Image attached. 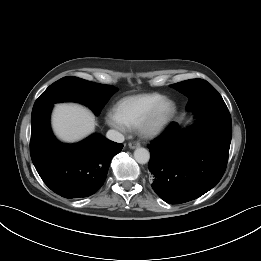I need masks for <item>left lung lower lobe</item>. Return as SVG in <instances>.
<instances>
[{"label": "left lung lower lobe", "mask_w": 261, "mask_h": 261, "mask_svg": "<svg viewBox=\"0 0 261 261\" xmlns=\"http://www.w3.org/2000/svg\"><path fill=\"white\" fill-rule=\"evenodd\" d=\"M193 126L181 130L172 122L148 148L152 188L169 204L194 200L222 178L232 137L229 111L196 114Z\"/></svg>", "instance_id": "0a47b994"}]
</instances>
